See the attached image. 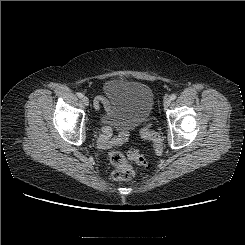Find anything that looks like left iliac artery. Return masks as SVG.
Returning a JSON list of instances; mask_svg holds the SVG:
<instances>
[{"label":"left iliac artery","instance_id":"1","mask_svg":"<svg viewBox=\"0 0 245 245\" xmlns=\"http://www.w3.org/2000/svg\"><path fill=\"white\" fill-rule=\"evenodd\" d=\"M176 97H177L176 94H171L170 99H171V100H175Z\"/></svg>","mask_w":245,"mask_h":245}]
</instances>
